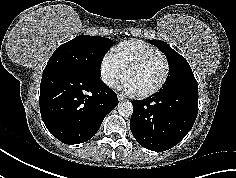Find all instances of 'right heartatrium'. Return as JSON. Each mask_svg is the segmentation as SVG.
Segmentation results:
<instances>
[{
	"mask_svg": "<svg viewBox=\"0 0 236 178\" xmlns=\"http://www.w3.org/2000/svg\"><path fill=\"white\" fill-rule=\"evenodd\" d=\"M99 72L103 83L112 88L122 78L124 69L116 61L112 53L107 52L100 60Z\"/></svg>",
	"mask_w": 236,
	"mask_h": 178,
	"instance_id": "right-heart-atrium-1",
	"label": "right heart atrium"
}]
</instances>
